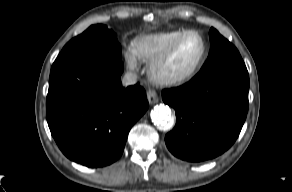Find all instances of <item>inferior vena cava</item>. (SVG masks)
I'll return each instance as SVG.
<instances>
[{"mask_svg":"<svg viewBox=\"0 0 292 192\" xmlns=\"http://www.w3.org/2000/svg\"><path fill=\"white\" fill-rule=\"evenodd\" d=\"M137 82V74L134 72H127L122 78V84L124 86L134 85Z\"/></svg>","mask_w":292,"mask_h":192,"instance_id":"inferior-vena-cava-1","label":"inferior vena cava"}]
</instances>
